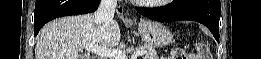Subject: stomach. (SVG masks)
<instances>
[{"mask_svg":"<svg viewBox=\"0 0 261 59\" xmlns=\"http://www.w3.org/2000/svg\"><path fill=\"white\" fill-rule=\"evenodd\" d=\"M138 31L144 43L151 47L166 46L170 44L173 39L170 30L157 21H140Z\"/></svg>","mask_w":261,"mask_h":59,"instance_id":"stomach-1","label":"stomach"}]
</instances>
